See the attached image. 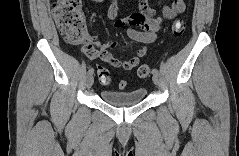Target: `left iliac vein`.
Segmentation results:
<instances>
[{
  "label": "left iliac vein",
  "mask_w": 239,
  "mask_h": 156,
  "mask_svg": "<svg viewBox=\"0 0 239 156\" xmlns=\"http://www.w3.org/2000/svg\"><path fill=\"white\" fill-rule=\"evenodd\" d=\"M152 80H153L155 85H158L159 84V76H158V74H153Z\"/></svg>",
  "instance_id": "left-iliac-vein-1"
}]
</instances>
